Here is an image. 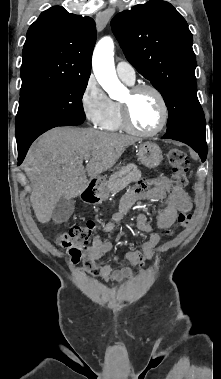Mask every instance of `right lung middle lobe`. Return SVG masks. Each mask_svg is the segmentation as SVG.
Returning <instances> with one entry per match:
<instances>
[{
  "label": "right lung middle lobe",
  "mask_w": 221,
  "mask_h": 379,
  "mask_svg": "<svg viewBox=\"0 0 221 379\" xmlns=\"http://www.w3.org/2000/svg\"><path fill=\"white\" fill-rule=\"evenodd\" d=\"M88 79L61 80L21 90L15 124L17 143L34 140L56 126L83 123L82 97Z\"/></svg>",
  "instance_id": "obj_1"
}]
</instances>
